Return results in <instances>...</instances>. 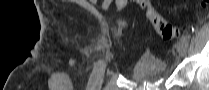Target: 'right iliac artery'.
<instances>
[{"instance_id":"obj_1","label":"right iliac artery","mask_w":209,"mask_h":90,"mask_svg":"<svg viewBox=\"0 0 209 90\" xmlns=\"http://www.w3.org/2000/svg\"><path fill=\"white\" fill-rule=\"evenodd\" d=\"M103 63L102 60H100L95 66L94 69L92 71V74L90 76V79L88 81V85H87V90H94L95 87V82L97 80L98 74H99V70H100V66Z\"/></svg>"}]
</instances>
